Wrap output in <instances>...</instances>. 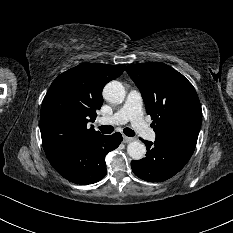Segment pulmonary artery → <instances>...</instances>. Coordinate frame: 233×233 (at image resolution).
<instances>
[{
    "instance_id": "1",
    "label": "pulmonary artery",
    "mask_w": 233,
    "mask_h": 233,
    "mask_svg": "<svg viewBox=\"0 0 233 233\" xmlns=\"http://www.w3.org/2000/svg\"><path fill=\"white\" fill-rule=\"evenodd\" d=\"M143 100L141 94L134 89L127 93L123 105L111 116L99 117L98 124L115 125L131 122L135 130L145 139L154 141L155 132L146 124L143 117Z\"/></svg>"
}]
</instances>
